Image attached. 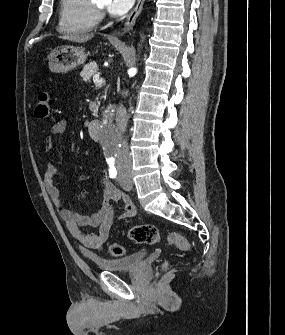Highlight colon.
I'll list each match as a JSON object with an SVG mask.
<instances>
[{"instance_id":"obj_1","label":"colon","mask_w":285,"mask_h":335,"mask_svg":"<svg viewBox=\"0 0 285 335\" xmlns=\"http://www.w3.org/2000/svg\"><path fill=\"white\" fill-rule=\"evenodd\" d=\"M50 95L47 92H41L38 95L35 116L40 119H45L50 114ZM128 237L130 240L140 244H155L163 240L158 229L151 224H139L131 227L128 231ZM166 244L176 246L180 250L188 251L191 247L189 241L179 233L171 232L164 239ZM101 243L97 245L100 247ZM108 251L111 255L119 257L123 256L126 252L124 246L120 244H111L108 247Z\"/></svg>"}]
</instances>
